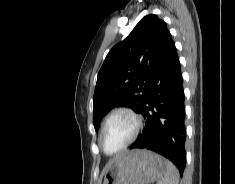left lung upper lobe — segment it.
Returning a JSON list of instances; mask_svg holds the SVG:
<instances>
[{
  "mask_svg": "<svg viewBox=\"0 0 235 184\" xmlns=\"http://www.w3.org/2000/svg\"><path fill=\"white\" fill-rule=\"evenodd\" d=\"M166 23L150 14L108 53L98 73L93 96V124L116 106L140 112L153 71L169 35Z\"/></svg>",
  "mask_w": 235,
  "mask_h": 184,
  "instance_id": "obj_1",
  "label": "left lung upper lobe"
}]
</instances>
